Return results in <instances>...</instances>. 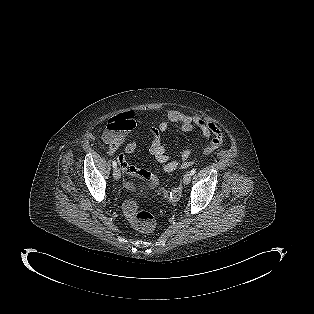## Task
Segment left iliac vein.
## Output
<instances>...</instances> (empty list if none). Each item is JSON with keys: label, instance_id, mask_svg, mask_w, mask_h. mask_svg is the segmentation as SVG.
<instances>
[{"label": "left iliac vein", "instance_id": "4c4485c4", "mask_svg": "<svg viewBox=\"0 0 314 314\" xmlns=\"http://www.w3.org/2000/svg\"><path fill=\"white\" fill-rule=\"evenodd\" d=\"M191 173L190 172H186L185 174H184V176H183V183L185 184V185H187V184H189L190 183V181H191Z\"/></svg>", "mask_w": 314, "mask_h": 314}]
</instances>
